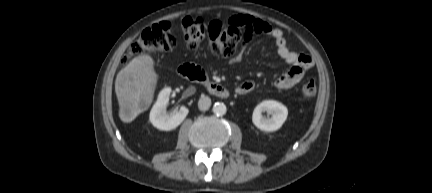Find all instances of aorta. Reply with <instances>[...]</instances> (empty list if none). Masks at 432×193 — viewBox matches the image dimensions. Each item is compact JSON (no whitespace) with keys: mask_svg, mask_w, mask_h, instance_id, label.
Here are the masks:
<instances>
[{"mask_svg":"<svg viewBox=\"0 0 432 193\" xmlns=\"http://www.w3.org/2000/svg\"><path fill=\"white\" fill-rule=\"evenodd\" d=\"M213 112L217 115V116H223L226 114L227 112V108L226 105L222 102H216L213 106Z\"/></svg>","mask_w":432,"mask_h":193,"instance_id":"762f6f07","label":"aorta"}]
</instances>
